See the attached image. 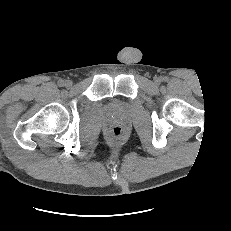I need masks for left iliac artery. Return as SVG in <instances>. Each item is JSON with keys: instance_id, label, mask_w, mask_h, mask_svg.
Here are the masks:
<instances>
[{"instance_id": "1", "label": "left iliac artery", "mask_w": 231, "mask_h": 231, "mask_svg": "<svg viewBox=\"0 0 231 231\" xmlns=\"http://www.w3.org/2000/svg\"><path fill=\"white\" fill-rule=\"evenodd\" d=\"M163 81H167V77H164V78H163Z\"/></svg>"}]
</instances>
